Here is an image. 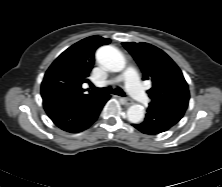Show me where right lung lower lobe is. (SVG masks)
I'll list each match as a JSON object with an SVG mask.
<instances>
[{
  "instance_id": "obj_1",
  "label": "right lung lower lobe",
  "mask_w": 222,
  "mask_h": 187,
  "mask_svg": "<svg viewBox=\"0 0 222 187\" xmlns=\"http://www.w3.org/2000/svg\"><path fill=\"white\" fill-rule=\"evenodd\" d=\"M41 95L44 109L53 123L70 133L81 132L93 124L110 98L103 95L99 98L77 101L52 90H47Z\"/></svg>"
}]
</instances>
